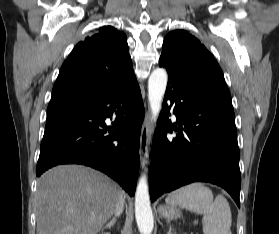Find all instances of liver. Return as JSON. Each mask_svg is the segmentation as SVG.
Segmentation results:
<instances>
[{
  "mask_svg": "<svg viewBox=\"0 0 279 234\" xmlns=\"http://www.w3.org/2000/svg\"><path fill=\"white\" fill-rule=\"evenodd\" d=\"M122 195L117 183L91 168L54 167L38 180L36 234H97Z\"/></svg>",
  "mask_w": 279,
  "mask_h": 234,
  "instance_id": "liver-1",
  "label": "liver"
}]
</instances>
